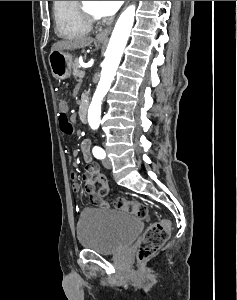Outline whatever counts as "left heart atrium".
I'll return each instance as SVG.
<instances>
[{"mask_svg":"<svg viewBox=\"0 0 237 300\" xmlns=\"http://www.w3.org/2000/svg\"><path fill=\"white\" fill-rule=\"evenodd\" d=\"M123 4V1H100V8L104 16L113 15Z\"/></svg>","mask_w":237,"mask_h":300,"instance_id":"39dd6f15","label":"left heart atrium"}]
</instances>
